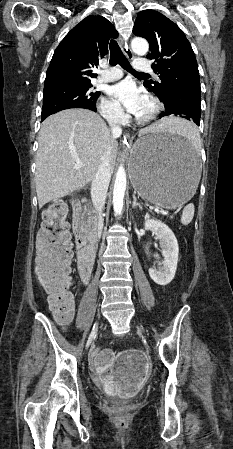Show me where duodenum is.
<instances>
[{"instance_id": "1", "label": "duodenum", "mask_w": 233, "mask_h": 449, "mask_svg": "<svg viewBox=\"0 0 233 449\" xmlns=\"http://www.w3.org/2000/svg\"><path fill=\"white\" fill-rule=\"evenodd\" d=\"M81 207L80 200L74 202V229L76 242L78 246V270L81 272H90L96 260L97 239L92 234Z\"/></svg>"}]
</instances>
